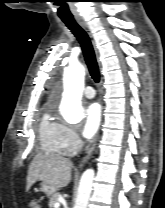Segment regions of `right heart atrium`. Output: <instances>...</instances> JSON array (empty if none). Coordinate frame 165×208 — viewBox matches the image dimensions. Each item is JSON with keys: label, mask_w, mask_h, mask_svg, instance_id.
<instances>
[{"label": "right heart atrium", "mask_w": 165, "mask_h": 208, "mask_svg": "<svg viewBox=\"0 0 165 208\" xmlns=\"http://www.w3.org/2000/svg\"><path fill=\"white\" fill-rule=\"evenodd\" d=\"M60 125L62 131L63 153L71 155L80 147L81 141L79 135L74 127L64 123H61Z\"/></svg>", "instance_id": "obj_1"}]
</instances>
